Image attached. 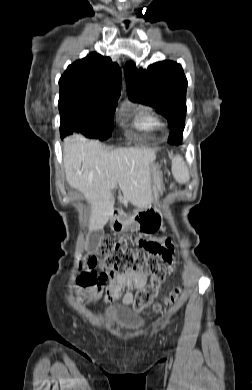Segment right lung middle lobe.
<instances>
[{
    "label": "right lung middle lobe",
    "mask_w": 252,
    "mask_h": 390,
    "mask_svg": "<svg viewBox=\"0 0 252 390\" xmlns=\"http://www.w3.org/2000/svg\"><path fill=\"white\" fill-rule=\"evenodd\" d=\"M61 138L73 132L104 140L110 137L115 108L100 105H74L59 108Z\"/></svg>",
    "instance_id": "1"
}]
</instances>
